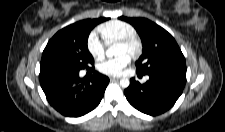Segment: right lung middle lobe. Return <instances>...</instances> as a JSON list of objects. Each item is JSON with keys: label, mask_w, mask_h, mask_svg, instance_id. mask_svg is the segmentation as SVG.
Instances as JSON below:
<instances>
[{"label": "right lung middle lobe", "mask_w": 225, "mask_h": 132, "mask_svg": "<svg viewBox=\"0 0 225 132\" xmlns=\"http://www.w3.org/2000/svg\"><path fill=\"white\" fill-rule=\"evenodd\" d=\"M105 20L107 18L82 20L58 31L43 51L40 70L88 69L94 64L87 47L89 33L97 24Z\"/></svg>", "instance_id": "right-lung-middle-lobe-1"}]
</instances>
